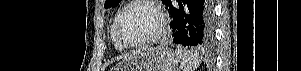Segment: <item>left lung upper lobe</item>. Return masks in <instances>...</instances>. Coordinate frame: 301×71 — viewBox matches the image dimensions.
Instances as JSON below:
<instances>
[{
	"mask_svg": "<svg viewBox=\"0 0 301 71\" xmlns=\"http://www.w3.org/2000/svg\"><path fill=\"white\" fill-rule=\"evenodd\" d=\"M168 0H162V2L166 3ZM121 0H106L104 7L105 8H114L116 7Z\"/></svg>",
	"mask_w": 301,
	"mask_h": 71,
	"instance_id": "1",
	"label": "left lung upper lobe"
}]
</instances>
